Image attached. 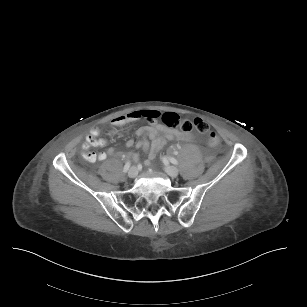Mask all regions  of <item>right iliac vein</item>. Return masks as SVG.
I'll return each instance as SVG.
<instances>
[{
	"mask_svg": "<svg viewBox=\"0 0 307 307\" xmlns=\"http://www.w3.org/2000/svg\"><path fill=\"white\" fill-rule=\"evenodd\" d=\"M138 175V169L136 167H131L130 170L128 171V176L131 179L136 178Z\"/></svg>",
	"mask_w": 307,
	"mask_h": 307,
	"instance_id": "right-iliac-vein-1",
	"label": "right iliac vein"
}]
</instances>
